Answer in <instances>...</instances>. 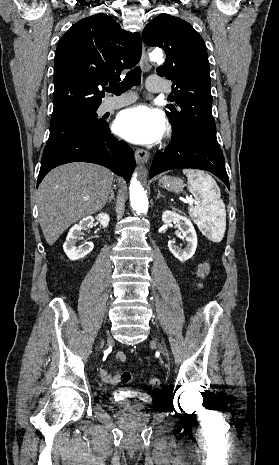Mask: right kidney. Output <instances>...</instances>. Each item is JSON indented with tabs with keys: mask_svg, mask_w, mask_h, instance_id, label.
Returning <instances> with one entry per match:
<instances>
[{
	"mask_svg": "<svg viewBox=\"0 0 279 465\" xmlns=\"http://www.w3.org/2000/svg\"><path fill=\"white\" fill-rule=\"evenodd\" d=\"M96 219L104 228L108 226L110 220L107 213L98 214ZM94 220L95 218L93 216H87L70 228L66 241L63 244V250L70 260H79L93 250L94 244L92 242H87L82 248H77L75 245L80 236L83 235V231L91 227Z\"/></svg>",
	"mask_w": 279,
	"mask_h": 465,
	"instance_id": "1",
	"label": "right kidney"
}]
</instances>
